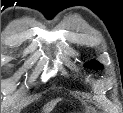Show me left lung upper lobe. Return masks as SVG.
<instances>
[{"label":"left lung upper lobe","instance_id":"obj_1","mask_svg":"<svg viewBox=\"0 0 123 113\" xmlns=\"http://www.w3.org/2000/svg\"><path fill=\"white\" fill-rule=\"evenodd\" d=\"M85 67L91 68V69H102V65L97 61H91L88 64H85Z\"/></svg>","mask_w":123,"mask_h":113}]
</instances>
